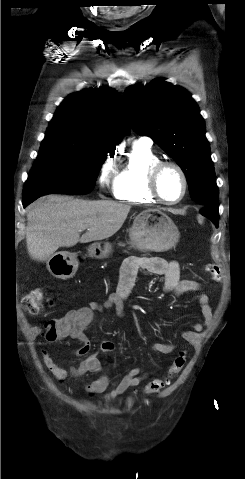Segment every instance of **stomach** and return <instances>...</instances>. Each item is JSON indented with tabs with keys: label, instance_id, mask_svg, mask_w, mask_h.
Here are the masks:
<instances>
[{
	"label": "stomach",
	"instance_id": "obj_1",
	"mask_svg": "<svg viewBox=\"0 0 245 479\" xmlns=\"http://www.w3.org/2000/svg\"><path fill=\"white\" fill-rule=\"evenodd\" d=\"M130 243L141 251H167L179 241L180 233L173 221L160 211L146 210L138 214L129 230ZM96 259L109 258L113 246L107 241L95 242L88 249ZM79 258L75 253L60 251L47 260V269L56 278L68 279L78 269Z\"/></svg>",
	"mask_w": 245,
	"mask_h": 479
}]
</instances>
